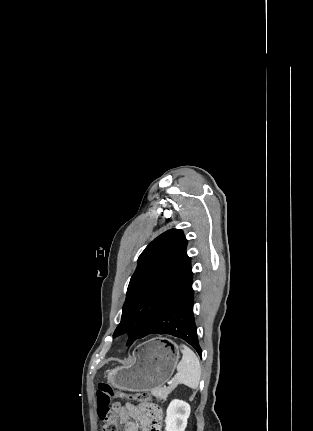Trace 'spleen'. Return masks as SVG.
Segmentation results:
<instances>
[{"label":"spleen","mask_w":313,"mask_h":431,"mask_svg":"<svg viewBox=\"0 0 313 431\" xmlns=\"http://www.w3.org/2000/svg\"><path fill=\"white\" fill-rule=\"evenodd\" d=\"M182 359L177 366L176 380L191 389H197L201 377V366L195 353L186 345L180 346Z\"/></svg>","instance_id":"1"}]
</instances>
